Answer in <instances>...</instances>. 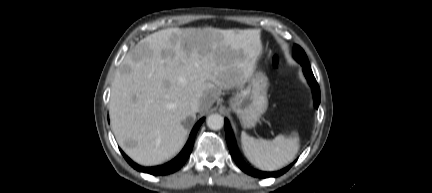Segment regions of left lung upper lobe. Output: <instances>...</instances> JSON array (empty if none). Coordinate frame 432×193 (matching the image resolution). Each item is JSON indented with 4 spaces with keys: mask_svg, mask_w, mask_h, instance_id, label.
Returning <instances> with one entry per match:
<instances>
[{
    "mask_svg": "<svg viewBox=\"0 0 432 193\" xmlns=\"http://www.w3.org/2000/svg\"><path fill=\"white\" fill-rule=\"evenodd\" d=\"M294 57L298 62H307L308 63V59H307V56H306L304 50L298 45L294 46Z\"/></svg>",
    "mask_w": 432,
    "mask_h": 193,
    "instance_id": "left-lung-upper-lobe-1",
    "label": "left lung upper lobe"
}]
</instances>
